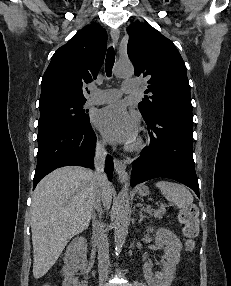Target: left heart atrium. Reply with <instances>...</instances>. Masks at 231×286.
I'll return each mask as SVG.
<instances>
[{"mask_svg":"<svg viewBox=\"0 0 231 286\" xmlns=\"http://www.w3.org/2000/svg\"><path fill=\"white\" fill-rule=\"evenodd\" d=\"M95 125L103 136L112 143H131L137 132V121L122 104H112L95 116Z\"/></svg>","mask_w":231,"mask_h":286,"instance_id":"obj_1","label":"left heart atrium"}]
</instances>
